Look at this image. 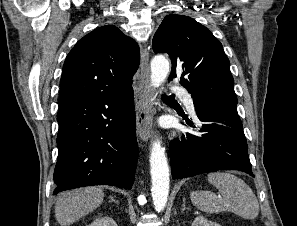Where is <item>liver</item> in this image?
Listing matches in <instances>:
<instances>
[{"mask_svg": "<svg viewBox=\"0 0 297 226\" xmlns=\"http://www.w3.org/2000/svg\"><path fill=\"white\" fill-rule=\"evenodd\" d=\"M104 200L97 187H85L63 193L55 204V217L61 226H69L94 211Z\"/></svg>", "mask_w": 297, "mask_h": 226, "instance_id": "obj_1", "label": "liver"}]
</instances>
